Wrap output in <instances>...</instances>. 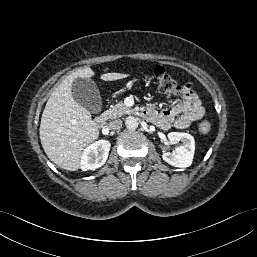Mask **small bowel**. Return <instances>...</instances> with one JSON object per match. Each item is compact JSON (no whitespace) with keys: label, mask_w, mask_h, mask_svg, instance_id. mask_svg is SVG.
<instances>
[{"label":"small bowel","mask_w":257,"mask_h":257,"mask_svg":"<svg viewBox=\"0 0 257 257\" xmlns=\"http://www.w3.org/2000/svg\"><path fill=\"white\" fill-rule=\"evenodd\" d=\"M144 115L162 129H186L193 122L200 120L205 110L197 94L189 84L182 86L181 100L170 109L157 110L147 106Z\"/></svg>","instance_id":"c3829d8e"}]
</instances>
